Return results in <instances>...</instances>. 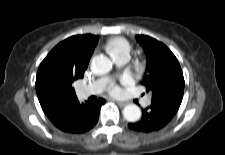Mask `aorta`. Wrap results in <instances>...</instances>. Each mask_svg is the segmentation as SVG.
Instances as JSON below:
<instances>
[{
  "label": "aorta",
  "mask_w": 225,
  "mask_h": 155,
  "mask_svg": "<svg viewBox=\"0 0 225 155\" xmlns=\"http://www.w3.org/2000/svg\"><path fill=\"white\" fill-rule=\"evenodd\" d=\"M113 66L112 61L105 55H97L92 59V69L100 74H107ZM123 116L129 122H136L141 118V109L135 104H129L123 109Z\"/></svg>",
  "instance_id": "762f6f07"
}]
</instances>
